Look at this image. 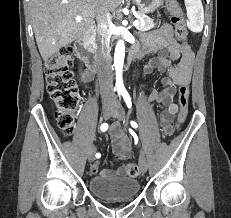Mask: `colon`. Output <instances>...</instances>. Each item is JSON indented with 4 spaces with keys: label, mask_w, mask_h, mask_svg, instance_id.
Segmentation results:
<instances>
[{
    "label": "colon",
    "mask_w": 231,
    "mask_h": 218,
    "mask_svg": "<svg viewBox=\"0 0 231 218\" xmlns=\"http://www.w3.org/2000/svg\"><path fill=\"white\" fill-rule=\"evenodd\" d=\"M167 7L172 15L171 21L175 27L176 37L185 42L188 32L180 6L175 0H167ZM73 59V48L65 46L50 57L45 64L47 90L55 104L57 124L66 134H71L74 130L75 114L81 99L71 71ZM189 96V85H183L178 97V127L187 117ZM126 172L129 176L136 177L140 173V168L136 163H129L126 165Z\"/></svg>",
    "instance_id": "colon-1"
}]
</instances>
